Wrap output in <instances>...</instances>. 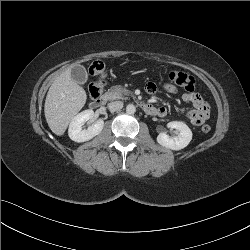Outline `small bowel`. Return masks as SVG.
Instances as JSON below:
<instances>
[{
	"instance_id": "obj_1",
	"label": "small bowel",
	"mask_w": 250,
	"mask_h": 250,
	"mask_svg": "<svg viewBox=\"0 0 250 250\" xmlns=\"http://www.w3.org/2000/svg\"><path fill=\"white\" fill-rule=\"evenodd\" d=\"M165 89L168 92L178 91V86L166 85ZM146 91L149 94H153L156 91V86L153 83H148L146 85ZM182 100L186 103L193 105V109L186 111V118L196 126L202 125L209 117V106L207 102L195 92H187L182 95ZM157 114L160 117H164L167 114L165 107H158Z\"/></svg>"
}]
</instances>
